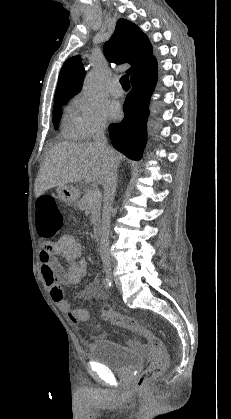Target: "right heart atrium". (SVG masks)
Returning a JSON list of instances; mask_svg holds the SVG:
<instances>
[{
  "mask_svg": "<svg viewBox=\"0 0 231 419\" xmlns=\"http://www.w3.org/2000/svg\"><path fill=\"white\" fill-rule=\"evenodd\" d=\"M71 119L75 133L80 139H90L102 134L107 126L102 106L83 95L72 101Z\"/></svg>",
  "mask_w": 231,
  "mask_h": 419,
  "instance_id": "right-heart-atrium-1",
  "label": "right heart atrium"
}]
</instances>
